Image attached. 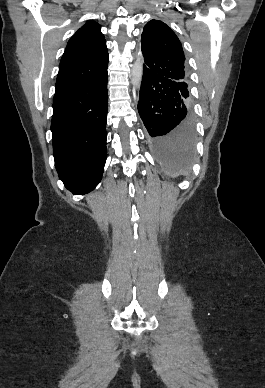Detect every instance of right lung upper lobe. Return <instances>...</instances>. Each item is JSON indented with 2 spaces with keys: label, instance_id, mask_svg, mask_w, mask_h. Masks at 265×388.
<instances>
[{
  "label": "right lung upper lobe",
  "instance_id": "right-lung-upper-lobe-1",
  "mask_svg": "<svg viewBox=\"0 0 265 388\" xmlns=\"http://www.w3.org/2000/svg\"><path fill=\"white\" fill-rule=\"evenodd\" d=\"M108 52L100 26L86 22L68 41L61 58L56 90L99 79L107 73Z\"/></svg>",
  "mask_w": 265,
  "mask_h": 388
}]
</instances>
